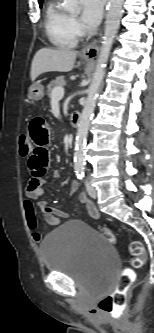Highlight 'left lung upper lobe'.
I'll use <instances>...</instances> for the list:
<instances>
[{
	"label": "left lung upper lobe",
	"instance_id": "1",
	"mask_svg": "<svg viewBox=\"0 0 154 333\" xmlns=\"http://www.w3.org/2000/svg\"><path fill=\"white\" fill-rule=\"evenodd\" d=\"M39 1V4H40V7L42 6V3H43V0H38Z\"/></svg>",
	"mask_w": 154,
	"mask_h": 333
}]
</instances>
